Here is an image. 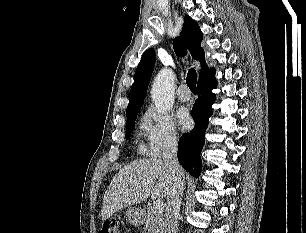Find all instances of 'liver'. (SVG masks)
<instances>
[{"label": "liver", "mask_w": 306, "mask_h": 233, "mask_svg": "<svg viewBox=\"0 0 306 233\" xmlns=\"http://www.w3.org/2000/svg\"><path fill=\"white\" fill-rule=\"evenodd\" d=\"M171 177L168 166L158 158L140 159L124 166L114 176L104 194L102 220L150 196L153 199L165 198L170 190Z\"/></svg>", "instance_id": "liver-1"}]
</instances>
